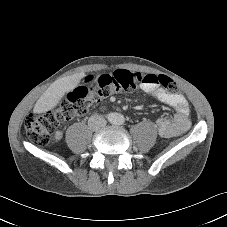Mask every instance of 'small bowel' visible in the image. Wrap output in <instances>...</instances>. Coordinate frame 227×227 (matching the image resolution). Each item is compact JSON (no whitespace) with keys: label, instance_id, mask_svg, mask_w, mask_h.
Returning a JSON list of instances; mask_svg holds the SVG:
<instances>
[{"label":"small bowel","instance_id":"c3829d8e","mask_svg":"<svg viewBox=\"0 0 227 227\" xmlns=\"http://www.w3.org/2000/svg\"><path fill=\"white\" fill-rule=\"evenodd\" d=\"M96 83L94 74H87L82 78L84 87H91ZM142 90L152 95L160 102L171 106L175 110L173 118L159 117L155 121L157 131L161 137L170 138L186 132L190 127V108L186 98L180 93H170L157 84H144ZM62 137L61 132L56 133V138Z\"/></svg>","mask_w":227,"mask_h":227}]
</instances>
